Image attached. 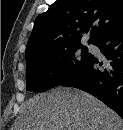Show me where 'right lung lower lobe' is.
I'll return each instance as SVG.
<instances>
[{"mask_svg":"<svg viewBox=\"0 0 123 130\" xmlns=\"http://www.w3.org/2000/svg\"><path fill=\"white\" fill-rule=\"evenodd\" d=\"M94 45L105 56L106 62L103 64L90 55L60 85L72 86L92 94L123 118V26L104 34Z\"/></svg>","mask_w":123,"mask_h":130,"instance_id":"obj_1","label":"right lung lower lobe"}]
</instances>
